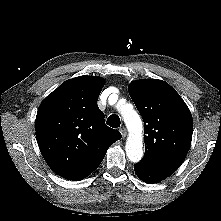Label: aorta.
Returning a JSON list of instances; mask_svg holds the SVG:
<instances>
[{
    "instance_id": "1",
    "label": "aorta",
    "mask_w": 221,
    "mask_h": 221,
    "mask_svg": "<svg viewBox=\"0 0 221 221\" xmlns=\"http://www.w3.org/2000/svg\"><path fill=\"white\" fill-rule=\"evenodd\" d=\"M121 115L129 131L125 150L131 162H139L143 157L142 121L140 116L132 108H121Z\"/></svg>"
}]
</instances>
